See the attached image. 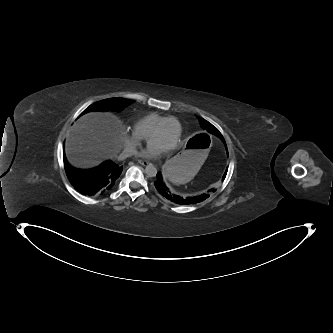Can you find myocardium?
Masks as SVG:
<instances>
[{"label": "myocardium", "instance_id": "f54148a6", "mask_svg": "<svg viewBox=\"0 0 333 333\" xmlns=\"http://www.w3.org/2000/svg\"><path fill=\"white\" fill-rule=\"evenodd\" d=\"M169 121H174L177 126L178 129L180 131V122L179 120L174 117V116H169L168 118L164 119L162 122L159 123V125L152 131V133L149 135L148 137V142L151 143L152 139L157 136L163 129V127L169 122ZM179 142V138L177 137L176 140L167 148V151H171L173 149L176 148V146L178 145Z\"/></svg>", "mask_w": 333, "mask_h": 333}]
</instances>
